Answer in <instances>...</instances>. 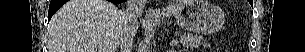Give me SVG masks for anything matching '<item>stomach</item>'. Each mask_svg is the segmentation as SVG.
Returning <instances> with one entry per match:
<instances>
[{
	"label": "stomach",
	"instance_id": "obj_1",
	"mask_svg": "<svg viewBox=\"0 0 305 52\" xmlns=\"http://www.w3.org/2000/svg\"><path fill=\"white\" fill-rule=\"evenodd\" d=\"M175 19L180 27L201 34L218 31L225 21L223 11L207 0H189L175 13Z\"/></svg>",
	"mask_w": 305,
	"mask_h": 52
}]
</instances>
